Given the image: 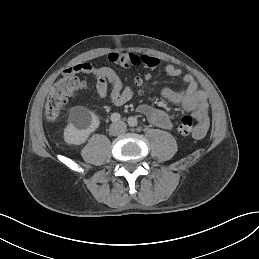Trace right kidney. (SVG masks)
Listing matches in <instances>:
<instances>
[{
  "label": "right kidney",
  "instance_id": "1",
  "mask_svg": "<svg viewBox=\"0 0 259 259\" xmlns=\"http://www.w3.org/2000/svg\"><path fill=\"white\" fill-rule=\"evenodd\" d=\"M99 124L98 116L89 109L82 106L73 107L69 114V124L64 130V140L68 144L80 145Z\"/></svg>",
  "mask_w": 259,
  "mask_h": 259
}]
</instances>
